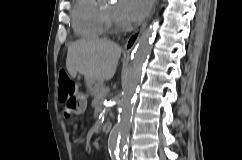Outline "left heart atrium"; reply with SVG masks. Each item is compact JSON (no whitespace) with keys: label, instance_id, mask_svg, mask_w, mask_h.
Returning <instances> with one entry per match:
<instances>
[{"label":"left heart atrium","instance_id":"left-heart-atrium-1","mask_svg":"<svg viewBox=\"0 0 242 160\" xmlns=\"http://www.w3.org/2000/svg\"><path fill=\"white\" fill-rule=\"evenodd\" d=\"M151 0H119L115 5V16L124 25L142 20L148 13Z\"/></svg>","mask_w":242,"mask_h":160}]
</instances>
